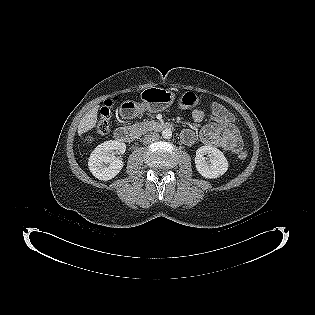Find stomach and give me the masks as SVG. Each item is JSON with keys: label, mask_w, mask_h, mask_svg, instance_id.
<instances>
[{"label": "stomach", "mask_w": 315, "mask_h": 315, "mask_svg": "<svg viewBox=\"0 0 315 315\" xmlns=\"http://www.w3.org/2000/svg\"><path fill=\"white\" fill-rule=\"evenodd\" d=\"M142 103L138 104L133 101H125L119 107L118 113L122 119H134L140 115L142 110L150 112H159L168 108L175 99L173 92L161 89L151 88L142 92Z\"/></svg>", "instance_id": "1"}]
</instances>
